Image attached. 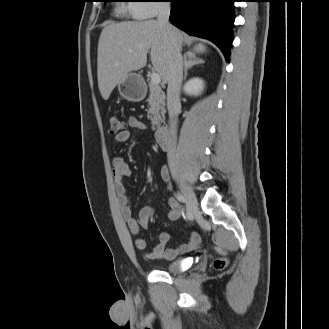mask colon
Instances as JSON below:
<instances>
[{
  "label": "colon",
  "instance_id": "5ec220e1",
  "mask_svg": "<svg viewBox=\"0 0 329 329\" xmlns=\"http://www.w3.org/2000/svg\"><path fill=\"white\" fill-rule=\"evenodd\" d=\"M109 127H110V133L113 135H117L124 131L125 124L120 117L113 115L109 118ZM226 265H227V259L225 258H218L214 261V267L218 270L225 268Z\"/></svg>",
  "mask_w": 329,
  "mask_h": 329
}]
</instances>
